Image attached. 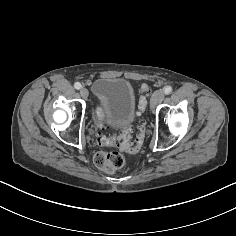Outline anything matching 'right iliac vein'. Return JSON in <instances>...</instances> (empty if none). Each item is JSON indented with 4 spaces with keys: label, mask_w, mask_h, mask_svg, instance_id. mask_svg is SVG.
I'll use <instances>...</instances> for the list:
<instances>
[{
    "label": "right iliac vein",
    "mask_w": 236,
    "mask_h": 236,
    "mask_svg": "<svg viewBox=\"0 0 236 236\" xmlns=\"http://www.w3.org/2000/svg\"><path fill=\"white\" fill-rule=\"evenodd\" d=\"M80 95L83 97V98H87L88 95H89V92L86 88H81L80 89Z\"/></svg>",
    "instance_id": "1"
}]
</instances>
